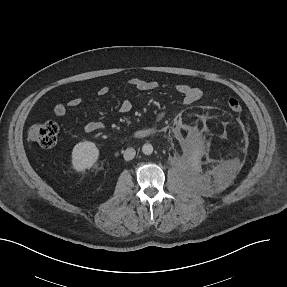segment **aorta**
Returning <instances> with one entry per match:
<instances>
[{
	"label": "aorta",
	"instance_id": "aorta-1",
	"mask_svg": "<svg viewBox=\"0 0 287 287\" xmlns=\"http://www.w3.org/2000/svg\"><path fill=\"white\" fill-rule=\"evenodd\" d=\"M142 152L145 154V155H150L152 154L153 152V146L149 143H146L142 146Z\"/></svg>",
	"mask_w": 287,
	"mask_h": 287
}]
</instances>
